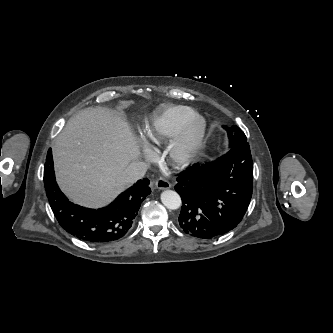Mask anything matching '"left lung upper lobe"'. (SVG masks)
Masks as SVG:
<instances>
[{
    "instance_id": "5c2ea615",
    "label": "left lung upper lobe",
    "mask_w": 333,
    "mask_h": 333,
    "mask_svg": "<svg viewBox=\"0 0 333 333\" xmlns=\"http://www.w3.org/2000/svg\"><path fill=\"white\" fill-rule=\"evenodd\" d=\"M246 140H247V138H245V137H238V138L232 139L231 143H232V145H235L239 142L246 141Z\"/></svg>"
}]
</instances>
